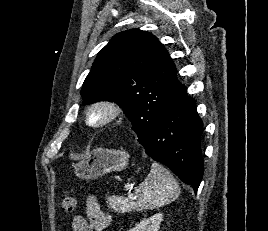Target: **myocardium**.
Returning <instances> with one entry per match:
<instances>
[{
  "mask_svg": "<svg viewBox=\"0 0 268 231\" xmlns=\"http://www.w3.org/2000/svg\"><path fill=\"white\" fill-rule=\"evenodd\" d=\"M99 112L100 118L93 121L92 114ZM121 114V108L114 100L98 99L89 104L86 110V121L93 128H100L115 121Z\"/></svg>",
  "mask_w": 268,
  "mask_h": 231,
  "instance_id": "f54148a6",
  "label": "myocardium"
}]
</instances>
